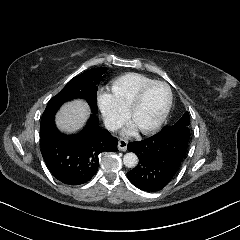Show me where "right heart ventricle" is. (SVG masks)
I'll return each mask as SVG.
<instances>
[{
  "instance_id": "right-heart-ventricle-1",
  "label": "right heart ventricle",
  "mask_w": 240,
  "mask_h": 240,
  "mask_svg": "<svg viewBox=\"0 0 240 240\" xmlns=\"http://www.w3.org/2000/svg\"><path fill=\"white\" fill-rule=\"evenodd\" d=\"M153 80L137 73H127L114 80L107 86L103 96L112 104L125 112L133 102L138 91Z\"/></svg>"
}]
</instances>
